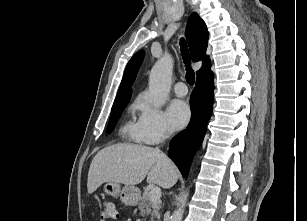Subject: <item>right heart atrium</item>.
Here are the masks:
<instances>
[{
	"label": "right heart atrium",
	"instance_id": "right-heart-atrium-1",
	"mask_svg": "<svg viewBox=\"0 0 307 221\" xmlns=\"http://www.w3.org/2000/svg\"><path fill=\"white\" fill-rule=\"evenodd\" d=\"M138 125L144 143L158 144L173 135V129L164 112L153 106L147 98L138 102Z\"/></svg>",
	"mask_w": 307,
	"mask_h": 221
}]
</instances>
